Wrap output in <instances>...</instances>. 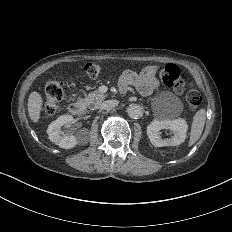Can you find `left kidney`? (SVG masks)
<instances>
[{"mask_svg":"<svg viewBox=\"0 0 232 232\" xmlns=\"http://www.w3.org/2000/svg\"><path fill=\"white\" fill-rule=\"evenodd\" d=\"M169 129L173 132L170 139H162L159 131ZM188 125L182 118L173 120H154L147 126V135L155 147L177 146L185 141Z\"/></svg>","mask_w":232,"mask_h":232,"instance_id":"1","label":"left kidney"}]
</instances>
